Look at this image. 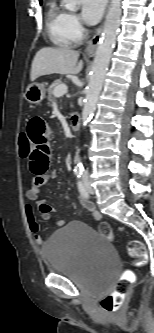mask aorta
I'll return each instance as SVG.
<instances>
[{
  "label": "aorta",
  "mask_w": 154,
  "mask_h": 333,
  "mask_svg": "<svg viewBox=\"0 0 154 333\" xmlns=\"http://www.w3.org/2000/svg\"><path fill=\"white\" fill-rule=\"evenodd\" d=\"M78 2L79 0H63L65 8L72 12L78 10ZM121 14V0H111L110 9L106 16L103 33L95 53L92 73L86 91L85 103L82 111L83 127L87 126L96 109L98 97L102 90L120 26ZM76 167L82 168L83 165L81 162H78Z\"/></svg>",
  "instance_id": "obj_1"
}]
</instances>
